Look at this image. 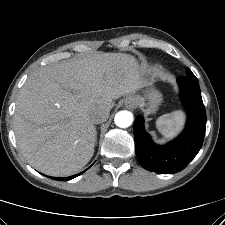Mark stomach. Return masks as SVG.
Instances as JSON below:
<instances>
[{
    "instance_id": "stomach-1",
    "label": "stomach",
    "mask_w": 225,
    "mask_h": 225,
    "mask_svg": "<svg viewBox=\"0 0 225 225\" xmlns=\"http://www.w3.org/2000/svg\"><path fill=\"white\" fill-rule=\"evenodd\" d=\"M135 101L138 104L147 105V110L149 112H154L161 103L162 97L158 91L151 89L147 92L145 98L135 97Z\"/></svg>"
}]
</instances>
